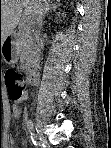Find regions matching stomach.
<instances>
[{
	"instance_id": "obj_1",
	"label": "stomach",
	"mask_w": 111,
	"mask_h": 148,
	"mask_svg": "<svg viewBox=\"0 0 111 148\" xmlns=\"http://www.w3.org/2000/svg\"><path fill=\"white\" fill-rule=\"evenodd\" d=\"M3 44L4 42L2 43V45ZM0 57L7 64H13L16 62L15 48L12 43L7 48H5V46H2Z\"/></svg>"
}]
</instances>
